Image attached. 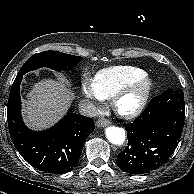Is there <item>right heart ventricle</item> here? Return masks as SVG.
Instances as JSON below:
<instances>
[{
	"instance_id": "e07e8e85",
	"label": "right heart ventricle",
	"mask_w": 194,
	"mask_h": 194,
	"mask_svg": "<svg viewBox=\"0 0 194 194\" xmlns=\"http://www.w3.org/2000/svg\"><path fill=\"white\" fill-rule=\"evenodd\" d=\"M134 66H113L99 70L93 77V85L101 99H110L125 84L145 75Z\"/></svg>"
}]
</instances>
